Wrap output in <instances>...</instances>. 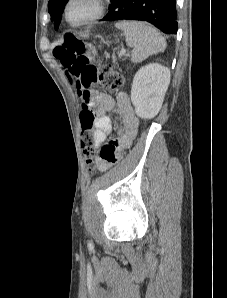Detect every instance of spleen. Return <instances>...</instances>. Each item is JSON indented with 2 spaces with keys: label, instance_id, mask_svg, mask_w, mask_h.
<instances>
[{
  "label": "spleen",
  "instance_id": "obj_1",
  "mask_svg": "<svg viewBox=\"0 0 227 298\" xmlns=\"http://www.w3.org/2000/svg\"><path fill=\"white\" fill-rule=\"evenodd\" d=\"M115 27L123 31L126 44L133 48L131 58L133 63H140L150 55L163 52L166 48L165 38L146 23L120 21Z\"/></svg>",
  "mask_w": 227,
  "mask_h": 298
}]
</instances>
